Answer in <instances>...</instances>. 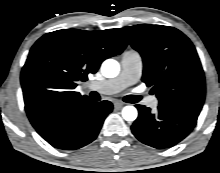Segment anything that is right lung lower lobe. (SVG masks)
<instances>
[{
	"label": "right lung lower lobe",
	"mask_w": 220,
	"mask_h": 173,
	"mask_svg": "<svg viewBox=\"0 0 220 173\" xmlns=\"http://www.w3.org/2000/svg\"><path fill=\"white\" fill-rule=\"evenodd\" d=\"M112 109L113 105L109 101L68 98L30 121L52 146L75 150L97 137L104 119Z\"/></svg>",
	"instance_id": "1"
}]
</instances>
